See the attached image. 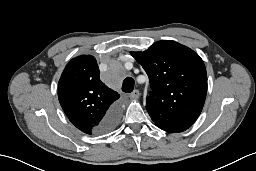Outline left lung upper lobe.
<instances>
[{
	"label": "left lung upper lobe",
	"mask_w": 256,
	"mask_h": 171,
	"mask_svg": "<svg viewBox=\"0 0 256 171\" xmlns=\"http://www.w3.org/2000/svg\"><path fill=\"white\" fill-rule=\"evenodd\" d=\"M131 55L146 71L151 86L146 108L155 125L182 132L199 117L207 93L206 68L190 48L171 40L154 43Z\"/></svg>",
	"instance_id": "obj_1"
}]
</instances>
